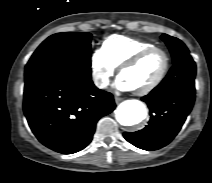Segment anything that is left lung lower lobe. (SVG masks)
Returning <instances> with one entry per match:
<instances>
[{"mask_svg": "<svg viewBox=\"0 0 212 183\" xmlns=\"http://www.w3.org/2000/svg\"><path fill=\"white\" fill-rule=\"evenodd\" d=\"M195 75L196 65L190 55L175 62L163 81L142 98L150 109L148 125L137 132H125V139L148 151L169 144L193 107Z\"/></svg>", "mask_w": 212, "mask_h": 183, "instance_id": "obj_1", "label": "left lung lower lobe"}]
</instances>
